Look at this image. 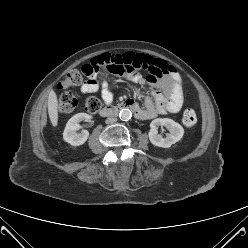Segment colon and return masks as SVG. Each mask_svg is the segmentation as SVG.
I'll return each instance as SVG.
<instances>
[{"mask_svg": "<svg viewBox=\"0 0 248 248\" xmlns=\"http://www.w3.org/2000/svg\"><path fill=\"white\" fill-rule=\"evenodd\" d=\"M105 71L121 74L119 62L113 55H101L85 64L82 67V72L73 70L68 72L61 82L58 84V89L63 93L60 96L58 111L61 114L70 113L74 110L77 100L75 96L66 91V89L78 85L82 82L83 75L93 76L102 75ZM101 108V102L96 97H90L85 101V110L89 113H97ZM182 122L185 127L193 130L197 123V115L193 109H186L182 115Z\"/></svg>", "mask_w": 248, "mask_h": 248, "instance_id": "obj_1", "label": "colon"}]
</instances>
